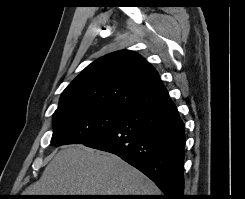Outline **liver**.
Here are the masks:
<instances>
[{
    "label": "liver",
    "instance_id": "1",
    "mask_svg": "<svg viewBox=\"0 0 245 199\" xmlns=\"http://www.w3.org/2000/svg\"><path fill=\"white\" fill-rule=\"evenodd\" d=\"M157 186L118 156L83 145L61 149L23 195H158Z\"/></svg>",
    "mask_w": 245,
    "mask_h": 199
}]
</instances>
